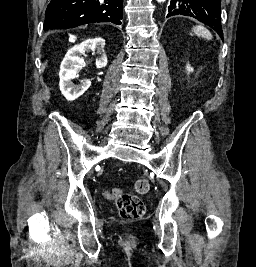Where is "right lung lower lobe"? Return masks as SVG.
Masks as SVG:
<instances>
[{
  "label": "right lung lower lobe",
  "instance_id": "right-lung-lower-lobe-1",
  "mask_svg": "<svg viewBox=\"0 0 256 267\" xmlns=\"http://www.w3.org/2000/svg\"><path fill=\"white\" fill-rule=\"evenodd\" d=\"M123 0H51L46 9L44 30L112 22L120 25Z\"/></svg>",
  "mask_w": 256,
  "mask_h": 267
}]
</instances>
